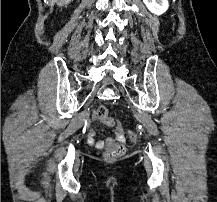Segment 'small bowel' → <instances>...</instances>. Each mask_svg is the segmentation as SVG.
I'll return each instance as SVG.
<instances>
[{
    "label": "small bowel",
    "mask_w": 217,
    "mask_h": 202,
    "mask_svg": "<svg viewBox=\"0 0 217 202\" xmlns=\"http://www.w3.org/2000/svg\"><path fill=\"white\" fill-rule=\"evenodd\" d=\"M98 116H99L98 113H96L93 116V120L94 121H98ZM101 122L104 123V121H101ZM110 127H115V136H116V139L118 141H124L123 129L117 124V121L114 122V126H110ZM110 142H111V139H108L106 141H104V140H97L95 138V131H94V129H90L88 131V133H87V143L90 146H93L95 148L102 149L107 143H110Z\"/></svg>",
    "instance_id": "1"
}]
</instances>
